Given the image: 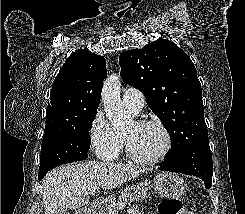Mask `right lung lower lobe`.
Here are the masks:
<instances>
[{
    "label": "right lung lower lobe",
    "instance_id": "98d812e1",
    "mask_svg": "<svg viewBox=\"0 0 245 214\" xmlns=\"http://www.w3.org/2000/svg\"><path fill=\"white\" fill-rule=\"evenodd\" d=\"M45 175L38 176V179L41 180Z\"/></svg>",
    "mask_w": 245,
    "mask_h": 214
}]
</instances>
